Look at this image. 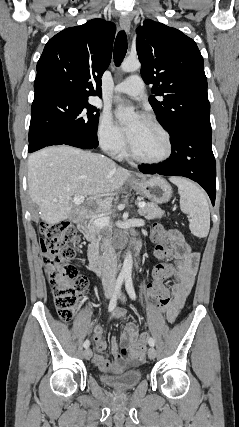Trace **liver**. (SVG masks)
Instances as JSON below:
<instances>
[{"label":"liver","mask_w":239,"mask_h":427,"mask_svg":"<svg viewBox=\"0 0 239 427\" xmlns=\"http://www.w3.org/2000/svg\"><path fill=\"white\" fill-rule=\"evenodd\" d=\"M27 165L30 198L38 205L41 219L50 225L104 215L112 206L114 192L131 176L109 158L66 145L31 154ZM73 196L95 201L94 209L81 206L83 202L75 204Z\"/></svg>","instance_id":"6515ba94"}]
</instances>
